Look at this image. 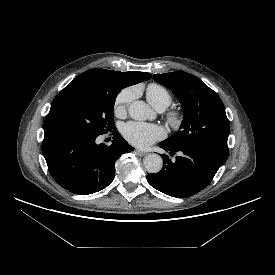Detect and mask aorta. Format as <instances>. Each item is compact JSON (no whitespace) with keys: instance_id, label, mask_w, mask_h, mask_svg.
Returning a JSON list of instances; mask_svg holds the SVG:
<instances>
[{"instance_id":"aorta-1","label":"aorta","mask_w":275,"mask_h":275,"mask_svg":"<svg viewBox=\"0 0 275 275\" xmlns=\"http://www.w3.org/2000/svg\"><path fill=\"white\" fill-rule=\"evenodd\" d=\"M129 115L132 119L143 121L147 120L153 115V111L144 101L137 100L130 104L128 109ZM145 169L149 173H158L163 166L162 157L158 154H148L143 159Z\"/></svg>"}]
</instances>
